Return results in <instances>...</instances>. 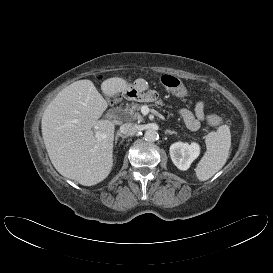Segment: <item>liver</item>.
I'll use <instances>...</instances> for the list:
<instances>
[{
    "label": "liver",
    "instance_id": "1",
    "mask_svg": "<svg viewBox=\"0 0 273 273\" xmlns=\"http://www.w3.org/2000/svg\"><path fill=\"white\" fill-rule=\"evenodd\" d=\"M127 87L128 82L119 77L101 84L102 92L110 97ZM107 107L93 82L85 79L61 90L45 109L43 140L53 166L62 176L92 186L111 172L115 124L99 120Z\"/></svg>",
    "mask_w": 273,
    "mask_h": 273
}]
</instances>
